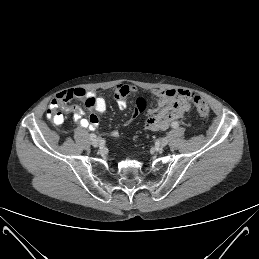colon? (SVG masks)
Returning a JSON list of instances; mask_svg holds the SVG:
<instances>
[{
  "instance_id": "colon-1",
  "label": "colon",
  "mask_w": 259,
  "mask_h": 259,
  "mask_svg": "<svg viewBox=\"0 0 259 259\" xmlns=\"http://www.w3.org/2000/svg\"><path fill=\"white\" fill-rule=\"evenodd\" d=\"M193 102L196 106L200 118L205 121L209 115V106L206 101L199 96L194 97ZM148 105L145 98H139L136 102L135 114L143 112ZM59 105H51L47 111L48 117L56 124H60L63 120L61 113L58 111Z\"/></svg>"
}]
</instances>
